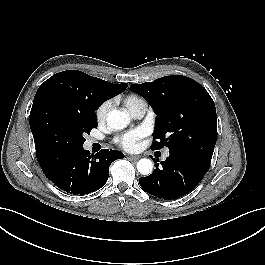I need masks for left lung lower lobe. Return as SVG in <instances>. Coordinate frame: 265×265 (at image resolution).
<instances>
[{
    "mask_svg": "<svg viewBox=\"0 0 265 265\" xmlns=\"http://www.w3.org/2000/svg\"><path fill=\"white\" fill-rule=\"evenodd\" d=\"M156 169L149 176L139 178L144 191L158 198L173 200L192 191L209 170L208 165L185 156H172L161 161L154 159Z\"/></svg>",
    "mask_w": 265,
    "mask_h": 265,
    "instance_id": "obj_1",
    "label": "left lung lower lobe"
}]
</instances>
